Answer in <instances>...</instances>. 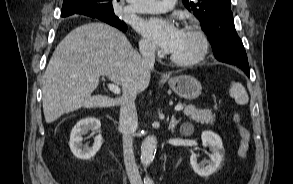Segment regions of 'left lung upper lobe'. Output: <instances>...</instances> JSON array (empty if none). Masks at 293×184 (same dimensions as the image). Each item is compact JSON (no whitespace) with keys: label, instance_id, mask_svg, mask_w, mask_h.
<instances>
[{"label":"left lung upper lobe","instance_id":"1","mask_svg":"<svg viewBox=\"0 0 293 184\" xmlns=\"http://www.w3.org/2000/svg\"><path fill=\"white\" fill-rule=\"evenodd\" d=\"M182 1L201 22V27L211 42L215 57L223 56L221 45L227 42L228 37H238L230 9L231 0Z\"/></svg>","mask_w":293,"mask_h":184}]
</instances>
